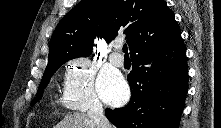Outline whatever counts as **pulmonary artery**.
Returning <instances> with one entry per match:
<instances>
[{
	"label": "pulmonary artery",
	"instance_id": "obj_1",
	"mask_svg": "<svg viewBox=\"0 0 221 128\" xmlns=\"http://www.w3.org/2000/svg\"><path fill=\"white\" fill-rule=\"evenodd\" d=\"M115 52L111 53L110 57H109V61L112 65L116 66V67H121L124 64V58L123 56L119 53L120 51V45L117 44L115 45Z\"/></svg>",
	"mask_w": 221,
	"mask_h": 128
}]
</instances>
